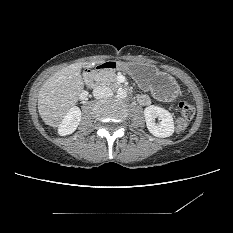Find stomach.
<instances>
[{
	"label": "stomach",
	"mask_w": 233,
	"mask_h": 233,
	"mask_svg": "<svg viewBox=\"0 0 233 233\" xmlns=\"http://www.w3.org/2000/svg\"><path fill=\"white\" fill-rule=\"evenodd\" d=\"M127 72L143 89L161 101H172L179 93L176 80L168 73L160 71L156 66L141 62L121 63Z\"/></svg>",
	"instance_id": "1"
}]
</instances>
